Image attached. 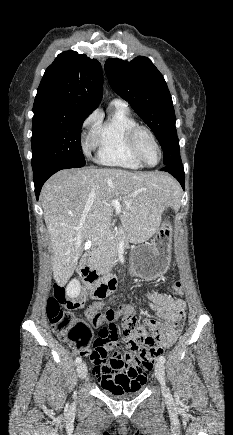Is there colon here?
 Segmentation results:
<instances>
[{
    "instance_id": "1",
    "label": "colon",
    "mask_w": 233,
    "mask_h": 435,
    "mask_svg": "<svg viewBox=\"0 0 233 435\" xmlns=\"http://www.w3.org/2000/svg\"><path fill=\"white\" fill-rule=\"evenodd\" d=\"M80 281L88 285L92 283L93 276L82 275ZM65 302L68 308L63 309L60 305ZM83 305V301L79 298L67 299L66 283H55L53 294L47 300V317L53 332L61 341L74 345L79 354L89 355L93 364L107 363L112 356V347L106 344L100 334L97 336L93 334V327L105 326L114 319L116 312L112 308L103 310L101 305L88 307L85 313L91 319V325L72 312V310L81 309ZM121 325L128 338V351L121 365L128 370L145 366L148 371H151L155 360L163 353L164 347L171 344V337H167L164 343H157L155 329L137 326L133 311L126 307L122 314ZM113 383L119 393L130 392L137 386V384H132L125 374L116 376Z\"/></svg>"
}]
</instances>
